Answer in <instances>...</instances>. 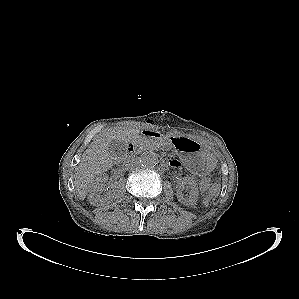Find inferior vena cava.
Instances as JSON below:
<instances>
[{
  "label": "inferior vena cava",
  "mask_w": 299,
  "mask_h": 299,
  "mask_svg": "<svg viewBox=\"0 0 299 299\" xmlns=\"http://www.w3.org/2000/svg\"><path fill=\"white\" fill-rule=\"evenodd\" d=\"M138 164H139V161H138V160H136V159H132V160H130V161L127 163V166H128V167H136V166H138Z\"/></svg>",
  "instance_id": "inferior-vena-cava-1"
}]
</instances>
